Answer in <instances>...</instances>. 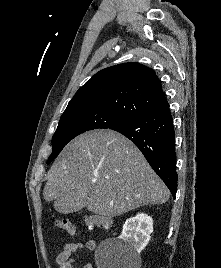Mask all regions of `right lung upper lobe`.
<instances>
[{"label": "right lung upper lobe", "instance_id": "cb5924a9", "mask_svg": "<svg viewBox=\"0 0 221 268\" xmlns=\"http://www.w3.org/2000/svg\"><path fill=\"white\" fill-rule=\"evenodd\" d=\"M167 106L154 71L139 63H123L96 73L78 89L64 113L105 109L131 120Z\"/></svg>", "mask_w": 221, "mask_h": 268}]
</instances>
